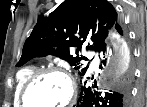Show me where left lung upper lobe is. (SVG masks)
I'll use <instances>...</instances> for the list:
<instances>
[{"label": "left lung upper lobe", "instance_id": "5c2ea615", "mask_svg": "<svg viewBox=\"0 0 147 107\" xmlns=\"http://www.w3.org/2000/svg\"><path fill=\"white\" fill-rule=\"evenodd\" d=\"M118 14L107 0H65L49 17H39L26 39L17 67L34 57L49 54L69 62L80 76L87 72L88 60L79 55L82 47L101 51L107 30L118 24Z\"/></svg>", "mask_w": 147, "mask_h": 107}]
</instances>
